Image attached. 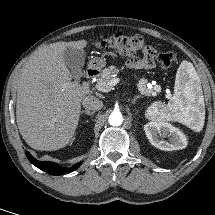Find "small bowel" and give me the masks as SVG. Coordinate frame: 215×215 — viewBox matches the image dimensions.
Returning a JSON list of instances; mask_svg holds the SVG:
<instances>
[{
    "mask_svg": "<svg viewBox=\"0 0 215 215\" xmlns=\"http://www.w3.org/2000/svg\"><path fill=\"white\" fill-rule=\"evenodd\" d=\"M155 50L147 46L143 51L141 58H131L127 61V65L133 69H151L154 67Z\"/></svg>",
    "mask_w": 215,
    "mask_h": 215,
    "instance_id": "small-bowel-1",
    "label": "small bowel"
}]
</instances>
